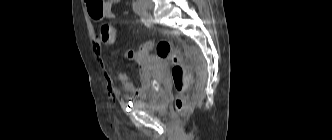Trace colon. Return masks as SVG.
<instances>
[{"mask_svg": "<svg viewBox=\"0 0 332 140\" xmlns=\"http://www.w3.org/2000/svg\"><path fill=\"white\" fill-rule=\"evenodd\" d=\"M85 3L92 18L96 20L102 19L107 0H85ZM99 30L100 34L105 37L117 38L119 35L118 27L108 22H102ZM152 49H155L158 57L170 62L171 81L175 90L178 92L175 101V109L180 114L186 113L192 105V99L187 94L191 83V76L188 72L184 55L178 51L170 41L161 40L156 43L147 42L143 44L137 52L132 50L128 51L127 57L139 61Z\"/></svg>", "mask_w": 332, "mask_h": 140, "instance_id": "colon-1", "label": "colon"}]
</instances>
